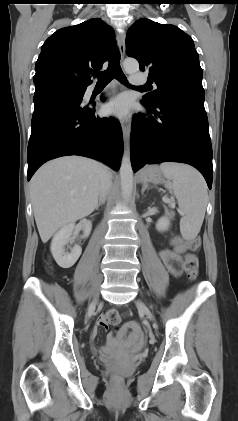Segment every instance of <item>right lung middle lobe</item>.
Segmentation results:
<instances>
[{
  "instance_id": "dd1d6c3e",
  "label": "right lung middle lobe",
  "mask_w": 238,
  "mask_h": 421,
  "mask_svg": "<svg viewBox=\"0 0 238 421\" xmlns=\"http://www.w3.org/2000/svg\"><path fill=\"white\" fill-rule=\"evenodd\" d=\"M64 86H68L70 88H74V89H77V90H82L84 88V87L73 86V85H64Z\"/></svg>"
}]
</instances>
